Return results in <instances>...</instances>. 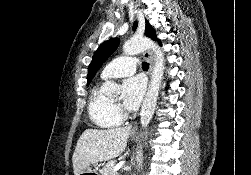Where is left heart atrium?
<instances>
[{
	"label": "left heart atrium",
	"instance_id": "left-heart-atrium-1",
	"mask_svg": "<svg viewBox=\"0 0 251 175\" xmlns=\"http://www.w3.org/2000/svg\"><path fill=\"white\" fill-rule=\"evenodd\" d=\"M145 83L140 76L127 78L122 85V101L126 109L136 110L144 96Z\"/></svg>",
	"mask_w": 251,
	"mask_h": 175
}]
</instances>
